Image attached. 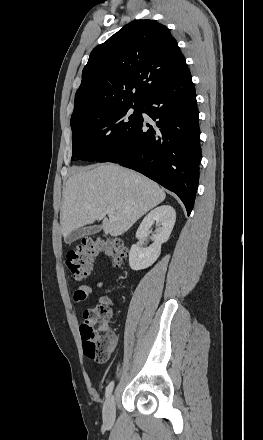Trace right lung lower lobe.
Segmentation results:
<instances>
[{
	"instance_id": "obj_1",
	"label": "right lung lower lobe",
	"mask_w": 263,
	"mask_h": 440,
	"mask_svg": "<svg viewBox=\"0 0 263 440\" xmlns=\"http://www.w3.org/2000/svg\"><path fill=\"white\" fill-rule=\"evenodd\" d=\"M141 112L156 126L143 123L96 160L136 170L176 193L190 215L199 181L200 132L196 93L190 71L151 92Z\"/></svg>"
}]
</instances>
